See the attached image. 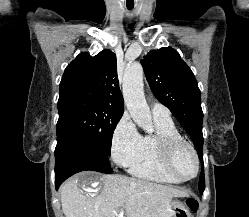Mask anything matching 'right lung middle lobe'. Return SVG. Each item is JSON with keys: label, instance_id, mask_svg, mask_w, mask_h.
<instances>
[{"label": "right lung middle lobe", "instance_id": "right-lung-middle-lobe-1", "mask_svg": "<svg viewBox=\"0 0 249 217\" xmlns=\"http://www.w3.org/2000/svg\"><path fill=\"white\" fill-rule=\"evenodd\" d=\"M57 106V132L72 131L99 152L110 156L113 132L123 110L81 97L59 98Z\"/></svg>", "mask_w": 249, "mask_h": 217}]
</instances>
